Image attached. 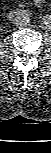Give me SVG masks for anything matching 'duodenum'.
<instances>
[{
    "instance_id": "duodenum-1",
    "label": "duodenum",
    "mask_w": 51,
    "mask_h": 153,
    "mask_svg": "<svg viewBox=\"0 0 51 153\" xmlns=\"http://www.w3.org/2000/svg\"><path fill=\"white\" fill-rule=\"evenodd\" d=\"M25 14H27V12L22 11V10H14V11H12V12L10 13V15H11L12 17L22 16V15H25Z\"/></svg>"
}]
</instances>
